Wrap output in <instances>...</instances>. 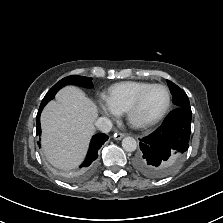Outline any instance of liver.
Segmentation results:
<instances>
[{
    "mask_svg": "<svg viewBox=\"0 0 223 223\" xmlns=\"http://www.w3.org/2000/svg\"><path fill=\"white\" fill-rule=\"evenodd\" d=\"M96 104L75 86L61 89L41 114L42 149L56 168L71 170L84 158L95 132Z\"/></svg>",
    "mask_w": 223,
    "mask_h": 223,
    "instance_id": "6515ba94",
    "label": "liver"
}]
</instances>
